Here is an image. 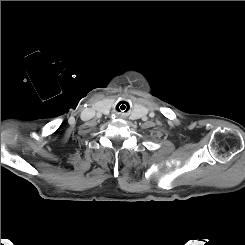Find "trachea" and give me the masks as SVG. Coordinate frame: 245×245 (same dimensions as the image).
I'll use <instances>...</instances> for the list:
<instances>
[{
    "instance_id": "3493384b",
    "label": "trachea",
    "mask_w": 245,
    "mask_h": 245,
    "mask_svg": "<svg viewBox=\"0 0 245 245\" xmlns=\"http://www.w3.org/2000/svg\"><path fill=\"white\" fill-rule=\"evenodd\" d=\"M131 108V105L129 102L127 101H120L117 105H116V111L119 114H125L127 113Z\"/></svg>"
}]
</instances>
